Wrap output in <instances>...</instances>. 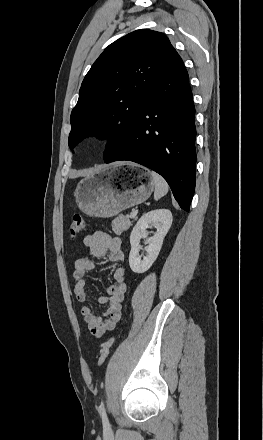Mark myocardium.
Here are the masks:
<instances>
[{
  "instance_id": "obj_1",
  "label": "myocardium",
  "mask_w": 263,
  "mask_h": 440,
  "mask_svg": "<svg viewBox=\"0 0 263 440\" xmlns=\"http://www.w3.org/2000/svg\"><path fill=\"white\" fill-rule=\"evenodd\" d=\"M104 146V140L101 137L93 136L86 142L87 152L91 155L98 153Z\"/></svg>"
}]
</instances>
